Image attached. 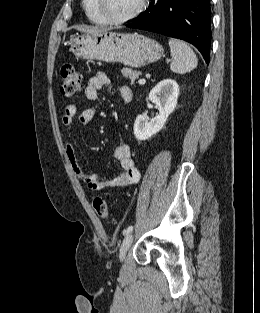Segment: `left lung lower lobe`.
I'll return each instance as SVG.
<instances>
[{"instance_id": "left-lung-lower-lobe-1", "label": "left lung lower lobe", "mask_w": 260, "mask_h": 313, "mask_svg": "<svg viewBox=\"0 0 260 313\" xmlns=\"http://www.w3.org/2000/svg\"><path fill=\"white\" fill-rule=\"evenodd\" d=\"M210 0H151L148 9L128 24L193 44L209 63Z\"/></svg>"}]
</instances>
